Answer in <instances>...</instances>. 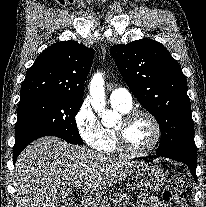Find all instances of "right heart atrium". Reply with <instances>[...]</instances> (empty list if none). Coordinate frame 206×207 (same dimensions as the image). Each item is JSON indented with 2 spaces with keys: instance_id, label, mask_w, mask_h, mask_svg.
I'll list each match as a JSON object with an SVG mask.
<instances>
[{
  "instance_id": "d8ad5b80",
  "label": "right heart atrium",
  "mask_w": 206,
  "mask_h": 207,
  "mask_svg": "<svg viewBox=\"0 0 206 207\" xmlns=\"http://www.w3.org/2000/svg\"><path fill=\"white\" fill-rule=\"evenodd\" d=\"M74 122L81 139L91 148L105 150L106 134L104 127L86 99L77 108Z\"/></svg>"
}]
</instances>
